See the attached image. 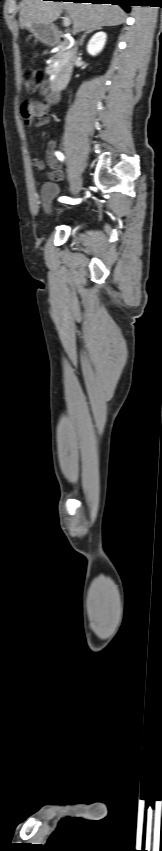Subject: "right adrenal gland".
<instances>
[{"label": "right adrenal gland", "instance_id": "obj_1", "mask_svg": "<svg viewBox=\"0 0 162 851\" xmlns=\"http://www.w3.org/2000/svg\"><path fill=\"white\" fill-rule=\"evenodd\" d=\"M100 29L101 28H94V29H90L87 32H85L84 35L82 36L81 40H80V45H83L84 39L86 38L87 34L92 33L95 30H100Z\"/></svg>", "mask_w": 162, "mask_h": 851}]
</instances>
